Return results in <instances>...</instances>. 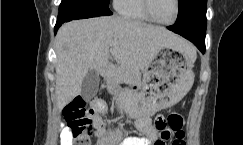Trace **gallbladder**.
<instances>
[{
  "instance_id": "1",
  "label": "gallbladder",
  "mask_w": 243,
  "mask_h": 145,
  "mask_svg": "<svg viewBox=\"0 0 243 145\" xmlns=\"http://www.w3.org/2000/svg\"><path fill=\"white\" fill-rule=\"evenodd\" d=\"M99 81L100 78L97 71L90 69L85 75L81 85V95L85 100L89 101L95 97L98 92Z\"/></svg>"
}]
</instances>
